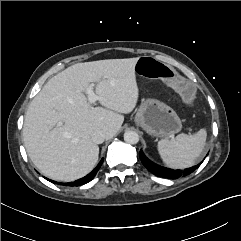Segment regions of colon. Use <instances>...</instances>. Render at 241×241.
<instances>
[{
	"mask_svg": "<svg viewBox=\"0 0 241 241\" xmlns=\"http://www.w3.org/2000/svg\"><path fill=\"white\" fill-rule=\"evenodd\" d=\"M136 72L141 77H153L160 81L165 87L177 88L184 94V102L192 106L195 102V85L186 79L180 72L172 71L167 63L160 61L158 58L144 57L137 58Z\"/></svg>",
	"mask_w": 241,
	"mask_h": 241,
	"instance_id": "5ec220e1",
	"label": "colon"
}]
</instances>
